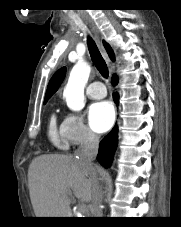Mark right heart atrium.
Instances as JSON below:
<instances>
[{
	"label": "right heart atrium",
	"instance_id": "obj_1",
	"mask_svg": "<svg viewBox=\"0 0 181 227\" xmlns=\"http://www.w3.org/2000/svg\"><path fill=\"white\" fill-rule=\"evenodd\" d=\"M62 131L66 140L75 146L91 144L97 140L96 134L85 124L83 118L75 113L66 115Z\"/></svg>",
	"mask_w": 181,
	"mask_h": 227
}]
</instances>
